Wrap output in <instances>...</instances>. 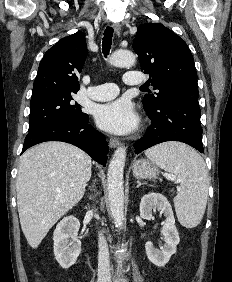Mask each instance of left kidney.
I'll return each mask as SVG.
<instances>
[{
	"label": "left kidney",
	"mask_w": 232,
	"mask_h": 282,
	"mask_svg": "<svg viewBox=\"0 0 232 282\" xmlns=\"http://www.w3.org/2000/svg\"><path fill=\"white\" fill-rule=\"evenodd\" d=\"M153 209L161 211L166 216L162 228L165 244L158 250L154 248L152 242H147L145 249L148 259L156 266L162 267L168 263L170 257L176 252L180 238L175 226L172 207L164 195L151 192L142 197L140 202V216L143 219H151L153 217Z\"/></svg>",
	"instance_id": "left-kidney-1"
}]
</instances>
